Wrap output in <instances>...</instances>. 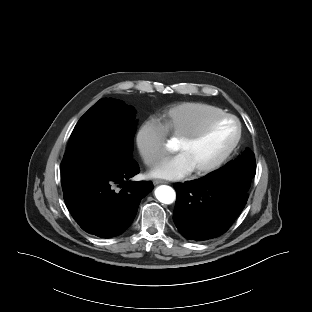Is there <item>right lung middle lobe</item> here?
Masks as SVG:
<instances>
[{"label":"right lung middle lobe","mask_w":312,"mask_h":312,"mask_svg":"<svg viewBox=\"0 0 312 312\" xmlns=\"http://www.w3.org/2000/svg\"><path fill=\"white\" fill-rule=\"evenodd\" d=\"M135 113L121 100L102 98L80 118L61 163L63 191L132 160Z\"/></svg>","instance_id":"right-lung-middle-lobe-1"}]
</instances>
